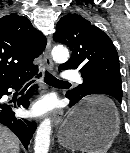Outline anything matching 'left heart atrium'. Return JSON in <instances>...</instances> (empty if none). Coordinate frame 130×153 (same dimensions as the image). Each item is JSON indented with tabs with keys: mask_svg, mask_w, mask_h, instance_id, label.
<instances>
[{
	"mask_svg": "<svg viewBox=\"0 0 130 153\" xmlns=\"http://www.w3.org/2000/svg\"><path fill=\"white\" fill-rule=\"evenodd\" d=\"M54 103L48 98L44 97L36 101L31 107V113L34 116H41L52 109Z\"/></svg>",
	"mask_w": 130,
	"mask_h": 153,
	"instance_id": "obj_1",
	"label": "left heart atrium"
}]
</instances>
